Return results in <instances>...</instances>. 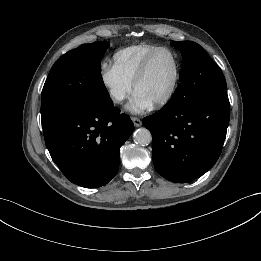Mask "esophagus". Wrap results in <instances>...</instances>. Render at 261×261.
<instances>
[{
    "mask_svg": "<svg viewBox=\"0 0 261 261\" xmlns=\"http://www.w3.org/2000/svg\"><path fill=\"white\" fill-rule=\"evenodd\" d=\"M131 120L135 127H140L142 124V121L137 117H131Z\"/></svg>",
    "mask_w": 261,
    "mask_h": 261,
    "instance_id": "esophagus-1",
    "label": "esophagus"
}]
</instances>
